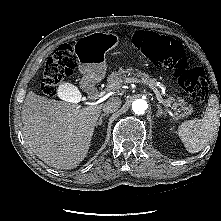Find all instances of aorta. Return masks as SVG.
I'll return each instance as SVG.
<instances>
[{
    "mask_svg": "<svg viewBox=\"0 0 221 221\" xmlns=\"http://www.w3.org/2000/svg\"><path fill=\"white\" fill-rule=\"evenodd\" d=\"M148 108V104L143 99H136L132 103V109L136 114H142L144 113Z\"/></svg>",
    "mask_w": 221,
    "mask_h": 221,
    "instance_id": "aorta-1",
    "label": "aorta"
}]
</instances>
